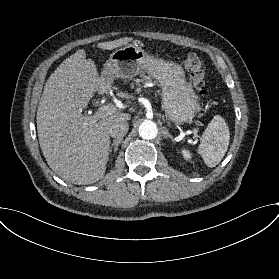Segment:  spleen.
Instances as JSON below:
<instances>
[{
  "instance_id": "spleen-1",
  "label": "spleen",
  "mask_w": 279,
  "mask_h": 279,
  "mask_svg": "<svg viewBox=\"0 0 279 279\" xmlns=\"http://www.w3.org/2000/svg\"><path fill=\"white\" fill-rule=\"evenodd\" d=\"M230 132L225 120L216 115L205 129L198 153L208 167H215L220 163L228 150Z\"/></svg>"
}]
</instances>
